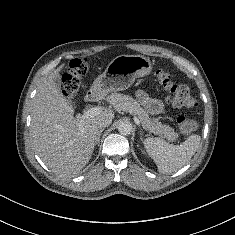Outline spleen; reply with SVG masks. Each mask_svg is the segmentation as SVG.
Returning <instances> with one entry per match:
<instances>
[{"instance_id":"obj_1","label":"spleen","mask_w":235,"mask_h":235,"mask_svg":"<svg viewBox=\"0 0 235 235\" xmlns=\"http://www.w3.org/2000/svg\"><path fill=\"white\" fill-rule=\"evenodd\" d=\"M201 137L191 135L180 145L167 143L161 138H146L144 146L162 174L172 173L188 163L200 145Z\"/></svg>"}]
</instances>
